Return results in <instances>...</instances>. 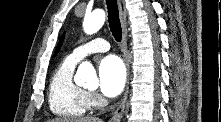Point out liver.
<instances>
[{"label": "liver", "mask_w": 221, "mask_h": 122, "mask_svg": "<svg viewBox=\"0 0 221 122\" xmlns=\"http://www.w3.org/2000/svg\"><path fill=\"white\" fill-rule=\"evenodd\" d=\"M49 122H103L99 118L95 117H84V118H55Z\"/></svg>", "instance_id": "1"}]
</instances>
